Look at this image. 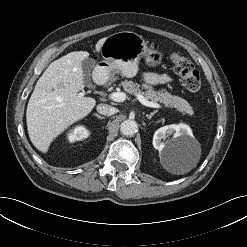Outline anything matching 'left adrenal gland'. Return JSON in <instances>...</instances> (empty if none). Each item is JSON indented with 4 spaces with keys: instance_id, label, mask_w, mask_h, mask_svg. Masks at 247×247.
Masks as SVG:
<instances>
[{
    "instance_id": "1",
    "label": "left adrenal gland",
    "mask_w": 247,
    "mask_h": 247,
    "mask_svg": "<svg viewBox=\"0 0 247 247\" xmlns=\"http://www.w3.org/2000/svg\"><path fill=\"white\" fill-rule=\"evenodd\" d=\"M158 111L155 110L154 112H152L150 115H147L148 119H151Z\"/></svg>"
}]
</instances>
